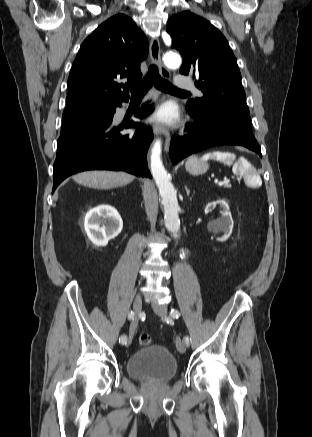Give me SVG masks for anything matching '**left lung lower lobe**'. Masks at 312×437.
I'll return each instance as SVG.
<instances>
[{"label": "left lung lower lobe", "instance_id": "left-lung-lower-lobe-1", "mask_svg": "<svg viewBox=\"0 0 312 437\" xmlns=\"http://www.w3.org/2000/svg\"><path fill=\"white\" fill-rule=\"evenodd\" d=\"M188 113L196 120L195 124L189 126L190 130L194 133L184 137L175 135L172 138L170 158L173 164H176L188 155L218 145L243 146L262 157L261 149L256 139H249L243 136L227 122L204 115H195L189 111Z\"/></svg>", "mask_w": 312, "mask_h": 437}]
</instances>
